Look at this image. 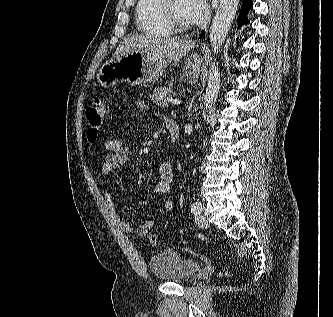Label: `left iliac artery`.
<instances>
[{
	"label": "left iliac artery",
	"instance_id": "44dca946",
	"mask_svg": "<svg viewBox=\"0 0 333 317\" xmlns=\"http://www.w3.org/2000/svg\"><path fill=\"white\" fill-rule=\"evenodd\" d=\"M202 210H203L202 204L198 201L194 202L191 205V213H193V214L200 213Z\"/></svg>",
	"mask_w": 333,
	"mask_h": 317
}]
</instances>
